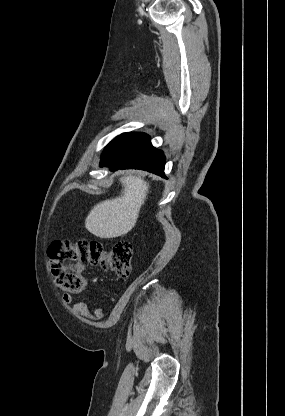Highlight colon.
Returning <instances> with one entry per match:
<instances>
[{
    "mask_svg": "<svg viewBox=\"0 0 285 416\" xmlns=\"http://www.w3.org/2000/svg\"><path fill=\"white\" fill-rule=\"evenodd\" d=\"M52 273L57 285L66 292L78 293L85 287L82 276L86 264L96 265L126 278L131 272L132 245L115 242L105 248L96 241L59 240L49 246Z\"/></svg>",
    "mask_w": 285,
    "mask_h": 416,
    "instance_id": "1",
    "label": "colon"
}]
</instances>
